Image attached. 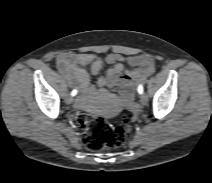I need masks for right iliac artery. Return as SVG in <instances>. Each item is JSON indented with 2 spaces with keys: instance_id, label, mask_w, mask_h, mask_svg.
<instances>
[{
  "instance_id": "obj_1",
  "label": "right iliac artery",
  "mask_w": 212,
  "mask_h": 183,
  "mask_svg": "<svg viewBox=\"0 0 212 183\" xmlns=\"http://www.w3.org/2000/svg\"><path fill=\"white\" fill-rule=\"evenodd\" d=\"M77 94V90H73L72 92H71V95L72 96H75Z\"/></svg>"
}]
</instances>
